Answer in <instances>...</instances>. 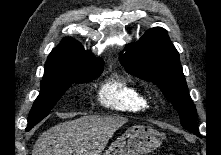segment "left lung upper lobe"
<instances>
[{"label": "left lung upper lobe", "instance_id": "left-lung-upper-lobe-1", "mask_svg": "<svg viewBox=\"0 0 221 155\" xmlns=\"http://www.w3.org/2000/svg\"><path fill=\"white\" fill-rule=\"evenodd\" d=\"M120 57L128 73L156 84L166 99L178 111L181 125L198 134L196 108L189 95L179 60L167 31L151 28Z\"/></svg>", "mask_w": 221, "mask_h": 155}]
</instances>
